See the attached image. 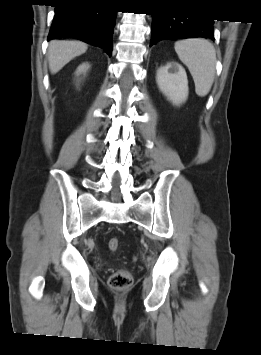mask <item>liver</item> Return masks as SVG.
<instances>
[{
    "mask_svg": "<svg viewBox=\"0 0 261 355\" xmlns=\"http://www.w3.org/2000/svg\"><path fill=\"white\" fill-rule=\"evenodd\" d=\"M86 50L87 45L80 41H51L48 47L50 72L57 73L73 58L85 53Z\"/></svg>",
    "mask_w": 261,
    "mask_h": 355,
    "instance_id": "6515ba94",
    "label": "liver"
}]
</instances>
